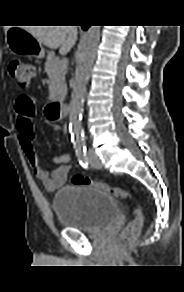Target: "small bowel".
Wrapping results in <instances>:
<instances>
[{"label": "small bowel", "instance_id": "1", "mask_svg": "<svg viewBox=\"0 0 184 292\" xmlns=\"http://www.w3.org/2000/svg\"><path fill=\"white\" fill-rule=\"evenodd\" d=\"M61 131L65 132L66 130L62 128ZM18 138L31 170L42 182L45 189L55 191L63 186L68 179L71 169L68 165L71 157L70 153L53 156L52 162L57 166L49 172L40 165L35 147L36 136L33 127L24 129L18 123Z\"/></svg>", "mask_w": 184, "mask_h": 292}]
</instances>
